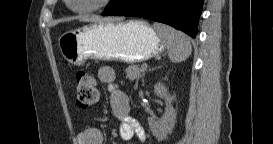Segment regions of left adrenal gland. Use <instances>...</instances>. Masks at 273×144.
<instances>
[{
  "label": "left adrenal gland",
  "mask_w": 273,
  "mask_h": 144,
  "mask_svg": "<svg viewBox=\"0 0 273 144\" xmlns=\"http://www.w3.org/2000/svg\"><path fill=\"white\" fill-rule=\"evenodd\" d=\"M137 86H138V81L136 82L135 88H137Z\"/></svg>",
  "instance_id": "1"
}]
</instances>
